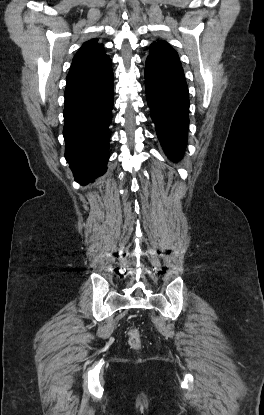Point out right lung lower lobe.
Masks as SVG:
<instances>
[{"label":"right lung lower lobe","instance_id":"right-lung-lower-lobe-1","mask_svg":"<svg viewBox=\"0 0 264 415\" xmlns=\"http://www.w3.org/2000/svg\"><path fill=\"white\" fill-rule=\"evenodd\" d=\"M65 158L81 185L103 175L109 159L113 72L67 83L65 89Z\"/></svg>","mask_w":264,"mask_h":415}]
</instances>
